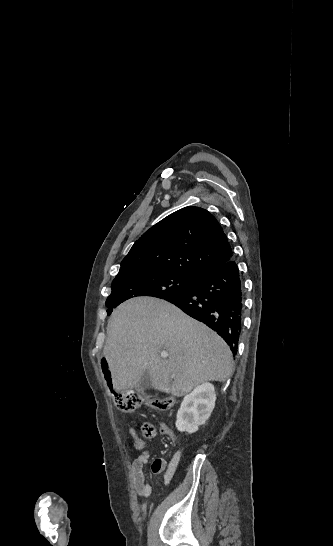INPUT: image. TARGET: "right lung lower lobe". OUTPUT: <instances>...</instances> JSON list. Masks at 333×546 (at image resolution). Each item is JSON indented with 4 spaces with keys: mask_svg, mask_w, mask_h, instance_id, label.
Wrapping results in <instances>:
<instances>
[{
    "mask_svg": "<svg viewBox=\"0 0 333 546\" xmlns=\"http://www.w3.org/2000/svg\"><path fill=\"white\" fill-rule=\"evenodd\" d=\"M164 300L216 331L236 355L243 320V284L233 259L204 273L187 292Z\"/></svg>",
    "mask_w": 333,
    "mask_h": 546,
    "instance_id": "98d812e1",
    "label": "right lung lower lobe"
}]
</instances>
